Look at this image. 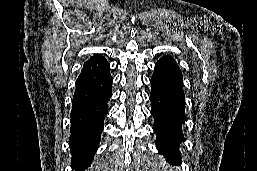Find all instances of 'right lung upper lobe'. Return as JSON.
<instances>
[{"label":"right lung upper lobe","instance_id":"right-lung-upper-lobe-1","mask_svg":"<svg viewBox=\"0 0 257 171\" xmlns=\"http://www.w3.org/2000/svg\"><path fill=\"white\" fill-rule=\"evenodd\" d=\"M102 58H103V57H101V56H99V55H95V56L91 57L87 62L99 60V59H102Z\"/></svg>","mask_w":257,"mask_h":171}]
</instances>
